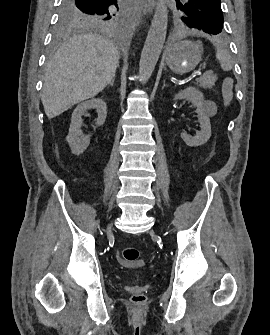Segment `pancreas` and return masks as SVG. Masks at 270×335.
Wrapping results in <instances>:
<instances>
[{"label": "pancreas", "instance_id": "pancreas-1", "mask_svg": "<svg viewBox=\"0 0 270 335\" xmlns=\"http://www.w3.org/2000/svg\"><path fill=\"white\" fill-rule=\"evenodd\" d=\"M216 80H217L216 74H213V72H205L203 76L197 78L196 82H199V86H202V88H212Z\"/></svg>", "mask_w": 270, "mask_h": 335}]
</instances>
